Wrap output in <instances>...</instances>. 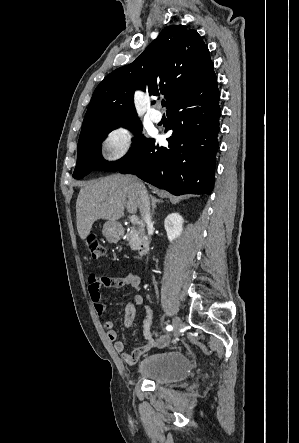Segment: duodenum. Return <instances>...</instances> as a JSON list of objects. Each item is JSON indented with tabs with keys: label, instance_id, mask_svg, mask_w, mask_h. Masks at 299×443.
I'll use <instances>...</instances> for the list:
<instances>
[{
	"label": "duodenum",
	"instance_id": "410a0bca",
	"mask_svg": "<svg viewBox=\"0 0 299 443\" xmlns=\"http://www.w3.org/2000/svg\"><path fill=\"white\" fill-rule=\"evenodd\" d=\"M119 231L122 232L121 229H119ZM149 249H150V243H149L147 236H145V235L141 236L138 247H137L138 255L140 257L147 255L149 252Z\"/></svg>",
	"mask_w": 299,
	"mask_h": 443
}]
</instances>
